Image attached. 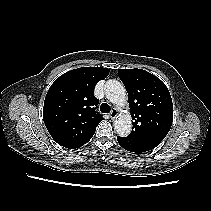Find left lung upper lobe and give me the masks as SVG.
<instances>
[{
    "mask_svg": "<svg viewBox=\"0 0 211 211\" xmlns=\"http://www.w3.org/2000/svg\"><path fill=\"white\" fill-rule=\"evenodd\" d=\"M118 75L128 92L133 128L119 137L130 152L154 149L168 134L173 121V103L166 85L142 69H119Z\"/></svg>",
    "mask_w": 211,
    "mask_h": 211,
    "instance_id": "left-lung-upper-lobe-1",
    "label": "left lung upper lobe"
}]
</instances>
